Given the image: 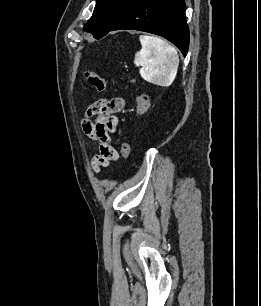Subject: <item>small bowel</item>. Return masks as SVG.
<instances>
[{"label": "small bowel", "instance_id": "obj_1", "mask_svg": "<svg viewBox=\"0 0 261 306\" xmlns=\"http://www.w3.org/2000/svg\"><path fill=\"white\" fill-rule=\"evenodd\" d=\"M125 107L121 97L104 99L92 104L87 110V117L82 122V129L87 137L96 142L98 154L93 159L96 171L116 161L119 154L111 144L109 133L116 131L119 120L116 114ZM93 117V120L90 118Z\"/></svg>", "mask_w": 261, "mask_h": 306}]
</instances>
